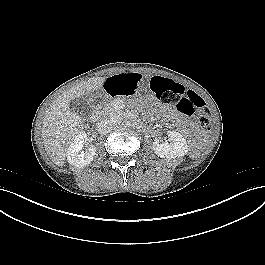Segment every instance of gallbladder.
<instances>
[{
	"instance_id": "1",
	"label": "gallbladder",
	"mask_w": 265,
	"mask_h": 265,
	"mask_svg": "<svg viewBox=\"0 0 265 265\" xmlns=\"http://www.w3.org/2000/svg\"><path fill=\"white\" fill-rule=\"evenodd\" d=\"M70 107L74 112H77L84 120H88L91 116L90 104L86 99H73L70 102Z\"/></svg>"
}]
</instances>
